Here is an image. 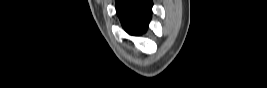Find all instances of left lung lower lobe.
<instances>
[{
    "label": "left lung lower lobe",
    "instance_id": "0a47b994",
    "mask_svg": "<svg viewBox=\"0 0 267 88\" xmlns=\"http://www.w3.org/2000/svg\"><path fill=\"white\" fill-rule=\"evenodd\" d=\"M117 13L123 27L131 34H140L146 30L151 17L150 1L117 0Z\"/></svg>",
    "mask_w": 267,
    "mask_h": 88
}]
</instances>
